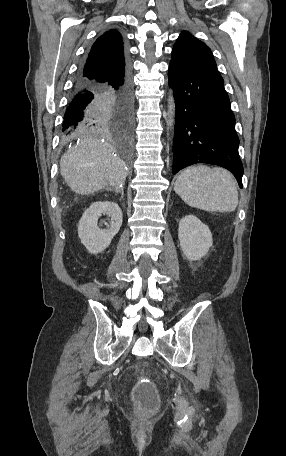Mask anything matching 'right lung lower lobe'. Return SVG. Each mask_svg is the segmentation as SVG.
Segmentation results:
<instances>
[{
    "instance_id": "98d812e1",
    "label": "right lung lower lobe",
    "mask_w": 286,
    "mask_h": 456,
    "mask_svg": "<svg viewBox=\"0 0 286 456\" xmlns=\"http://www.w3.org/2000/svg\"><path fill=\"white\" fill-rule=\"evenodd\" d=\"M133 98L128 72L100 82L80 69L62 123V136L108 128L129 141L132 135Z\"/></svg>"
}]
</instances>
